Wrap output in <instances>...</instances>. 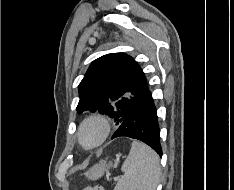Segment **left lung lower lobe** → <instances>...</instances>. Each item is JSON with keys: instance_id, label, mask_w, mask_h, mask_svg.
I'll use <instances>...</instances> for the list:
<instances>
[{"instance_id": "0a47b994", "label": "left lung lower lobe", "mask_w": 234, "mask_h": 190, "mask_svg": "<svg viewBox=\"0 0 234 190\" xmlns=\"http://www.w3.org/2000/svg\"><path fill=\"white\" fill-rule=\"evenodd\" d=\"M159 133L156 107L152 94L147 88L119 125L112 139L117 137L138 139L152 147L162 156Z\"/></svg>"}]
</instances>
